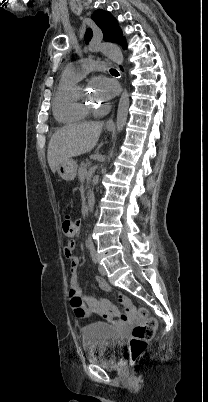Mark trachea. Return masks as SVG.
Returning a JSON list of instances; mask_svg holds the SVG:
<instances>
[{"label": "trachea", "instance_id": "3493384b", "mask_svg": "<svg viewBox=\"0 0 208 402\" xmlns=\"http://www.w3.org/2000/svg\"><path fill=\"white\" fill-rule=\"evenodd\" d=\"M110 72H117V70H115V68H111Z\"/></svg>", "mask_w": 208, "mask_h": 402}]
</instances>
